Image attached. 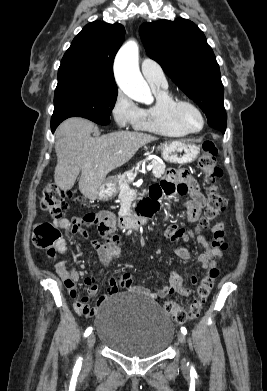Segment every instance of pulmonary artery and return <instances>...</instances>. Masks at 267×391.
I'll return each mask as SVG.
<instances>
[{"label":"pulmonary artery","mask_w":267,"mask_h":391,"mask_svg":"<svg viewBox=\"0 0 267 391\" xmlns=\"http://www.w3.org/2000/svg\"><path fill=\"white\" fill-rule=\"evenodd\" d=\"M141 71L151 87H167V79L158 63L149 58L141 62Z\"/></svg>","instance_id":"obj_1"}]
</instances>
